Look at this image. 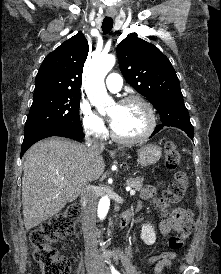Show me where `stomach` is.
<instances>
[{
	"label": "stomach",
	"mask_w": 221,
	"mask_h": 274,
	"mask_svg": "<svg viewBox=\"0 0 221 274\" xmlns=\"http://www.w3.org/2000/svg\"><path fill=\"white\" fill-rule=\"evenodd\" d=\"M138 163L141 166L153 165L159 161L161 157V148L156 144H146L142 146L138 151Z\"/></svg>",
	"instance_id": "0dacf381"
}]
</instances>
